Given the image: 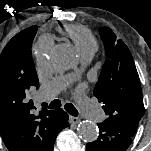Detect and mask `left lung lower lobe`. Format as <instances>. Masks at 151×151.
<instances>
[{
    "mask_svg": "<svg viewBox=\"0 0 151 151\" xmlns=\"http://www.w3.org/2000/svg\"><path fill=\"white\" fill-rule=\"evenodd\" d=\"M96 141L87 144L88 151H125L131 144V136L103 122Z\"/></svg>",
    "mask_w": 151,
    "mask_h": 151,
    "instance_id": "0a47b994",
    "label": "left lung lower lobe"
}]
</instances>
